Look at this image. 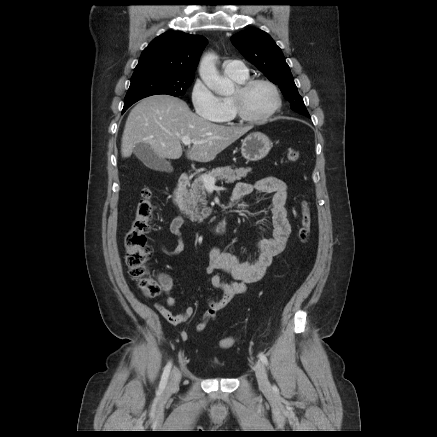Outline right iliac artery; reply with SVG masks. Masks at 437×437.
<instances>
[{"label": "right iliac artery", "instance_id": "1", "mask_svg": "<svg viewBox=\"0 0 437 437\" xmlns=\"http://www.w3.org/2000/svg\"><path fill=\"white\" fill-rule=\"evenodd\" d=\"M171 367H172V363L168 362L164 368V371H163V374L161 377V381H160V385H159L160 389H164L166 387Z\"/></svg>", "mask_w": 437, "mask_h": 437}]
</instances>
